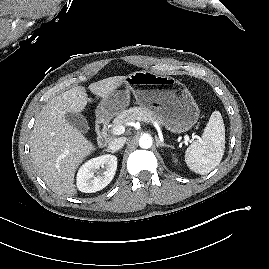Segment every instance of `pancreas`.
Masks as SVG:
<instances>
[{"instance_id":"pancreas-1","label":"pancreas","mask_w":269,"mask_h":269,"mask_svg":"<svg viewBox=\"0 0 269 269\" xmlns=\"http://www.w3.org/2000/svg\"><path fill=\"white\" fill-rule=\"evenodd\" d=\"M144 121V122H153L155 117L153 113L142 107H132L127 110L122 111L113 121L112 130L114 127L127 124L132 121Z\"/></svg>"}]
</instances>
